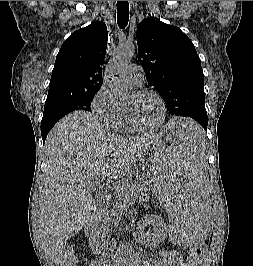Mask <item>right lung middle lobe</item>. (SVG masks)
<instances>
[{
  "mask_svg": "<svg viewBox=\"0 0 253 266\" xmlns=\"http://www.w3.org/2000/svg\"><path fill=\"white\" fill-rule=\"evenodd\" d=\"M99 89L87 91H59L48 94L41 129L52 128L66 114L76 111H91L90 105Z\"/></svg>",
  "mask_w": 253,
  "mask_h": 266,
  "instance_id": "1",
  "label": "right lung middle lobe"
}]
</instances>
